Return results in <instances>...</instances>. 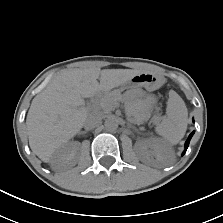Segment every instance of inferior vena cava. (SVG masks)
Instances as JSON below:
<instances>
[{
  "mask_svg": "<svg viewBox=\"0 0 223 223\" xmlns=\"http://www.w3.org/2000/svg\"><path fill=\"white\" fill-rule=\"evenodd\" d=\"M101 123V119L97 116H93V115H90L85 123H84V127L87 129V130H90V129H93L95 128L96 126H98L99 124Z\"/></svg>",
  "mask_w": 223,
  "mask_h": 223,
  "instance_id": "1",
  "label": "inferior vena cava"
}]
</instances>
